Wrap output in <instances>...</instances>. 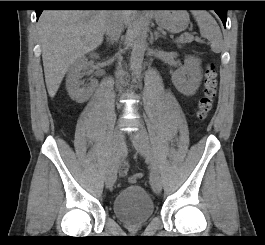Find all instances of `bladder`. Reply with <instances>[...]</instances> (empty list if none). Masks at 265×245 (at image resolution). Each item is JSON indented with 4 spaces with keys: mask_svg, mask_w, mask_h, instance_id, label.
I'll return each mask as SVG.
<instances>
[{
    "mask_svg": "<svg viewBox=\"0 0 265 245\" xmlns=\"http://www.w3.org/2000/svg\"><path fill=\"white\" fill-rule=\"evenodd\" d=\"M113 214L125 225L133 226L146 222L155 212L154 202L141 186L122 190L114 199Z\"/></svg>",
    "mask_w": 265,
    "mask_h": 245,
    "instance_id": "obj_1",
    "label": "bladder"
}]
</instances>
